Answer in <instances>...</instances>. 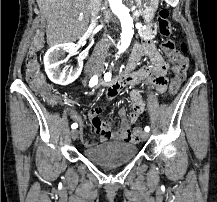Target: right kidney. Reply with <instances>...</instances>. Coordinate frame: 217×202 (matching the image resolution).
I'll use <instances>...</instances> for the list:
<instances>
[{
    "instance_id": "1",
    "label": "right kidney",
    "mask_w": 217,
    "mask_h": 202,
    "mask_svg": "<svg viewBox=\"0 0 217 202\" xmlns=\"http://www.w3.org/2000/svg\"><path fill=\"white\" fill-rule=\"evenodd\" d=\"M64 52L76 54L77 50L75 44H58V46L50 48L44 56V66L45 72L52 82H58V84H65V86H67V84H71V82L79 78L82 72L83 62L78 58L79 66H77L73 72H69L67 76L66 72H60L59 70L61 64L59 60L62 58Z\"/></svg>"
}]
</instances>
